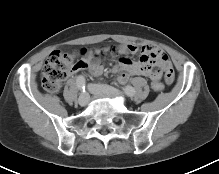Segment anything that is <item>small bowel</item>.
Wrapping results in <instances>:
<instances>
[{
  "label": "small bowel",
  "instance_id": "c3829d8e",
  "mask_svg": "<svg viewBox=\"0 0 219 174\" xmlns=\"http://www.w3.org/2000/svg\"><path fill=\"white\" fill-rule=\"evenodd\" d=\"M125 54L136 53L138 47L134 44H126L120 47ZM140 62H135L128 57H122L113 67L115 72H120L118 82L125 83L130 75H142L153 81L160 80L162 72L165 74L166 82L171 84L174 80V71L168 56L163 50L154 46L146 45L141 50ZM157 66L159 69H154ZM76 71L89 70L94 75H99L103 71V66L98 59H89L81 62Z\"/></svg>",
  "mask_w": 219,
  "mask_h": 174
}]
</instances>
